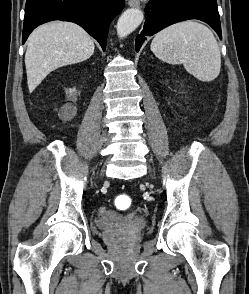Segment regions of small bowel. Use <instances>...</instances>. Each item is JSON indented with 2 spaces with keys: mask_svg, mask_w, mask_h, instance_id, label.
Here are the masks:
<instances>
[{
  "mask_svg": "<svg viewBox=\"0 0 249 294\" xmlns=\"http://www.w3.org/2000/svg\"><path fill=\"white\" fill-rule=\"evenodd\" d=\"M109 216H111L109 211L104 210V211L102 212V219H105V218H107V217H109Z\"/></svg>",
  "mask_w": 249,
  "mask_h": 294,
  "instance_id": "c3829d8e",
  "label": "small bowel"
}]
</instances>
